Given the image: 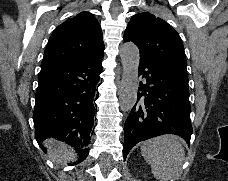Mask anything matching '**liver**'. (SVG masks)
<instances>
[{
	"mask_svg": "<svg viewBox=\"0 0 228 181\" xmlns=\"http://www.w3.org/2000/svg\"><path fill=\"white\" fill-rule=\"evenodd\" d=\"M43 145L48 147L49 157L56 163H66L72 153L71 147H68L66 143H61V141H55V139H46Z\"/></svg>",
	"mask_w": 228,
	"mask_h": 181,
	"instance_id": "1",
	"label": "liver"
}]
</instances>
